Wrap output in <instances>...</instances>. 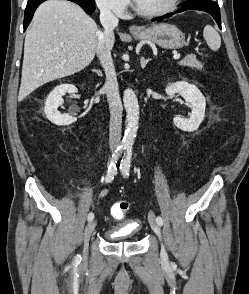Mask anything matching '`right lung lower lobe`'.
<instances>
[{
  "label": "right lung lower lobe",
  "mask_w": 249,
  "mask_h": 294,
  "mask_svg": "<svg viewBox=\"0 0 249 294\" xmlns=\"http://www.w3.org/2000/svg\"><path fill=\"white\" fill-rule=\"evenodd\" d=\"M46 0H29L25 9L24 15V31L32 20L35 10L37 7ZM79 4L87 14H92L95 10V3H90L85 0H69Z\"/></svg>",
  "instance_id": "obj_1"
}]
</instances>
